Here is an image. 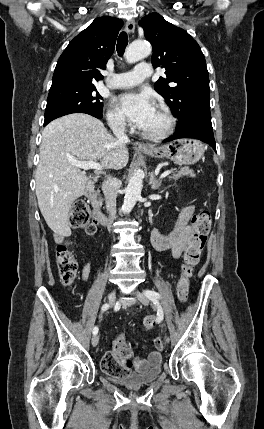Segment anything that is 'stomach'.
Listing matches in <instances>:
<instances>
[{
	"label": "stomach",
	"instance_id": "0dacf381",
	"mask_svg": "<svg viewBox=\"0 0 264 429\" xmlns=\"http://www.w3.org/2000/svg\"><path fill=\"white\" fill-rule=\"evenodd\" d=\"M204 151V146L199 140L178 139L143 152L151 157L168 158L177 164L190 165L198 162Z\"/></svg>",
	"mask_w": 264,
	"mask_h": 429
}]
</instances>
